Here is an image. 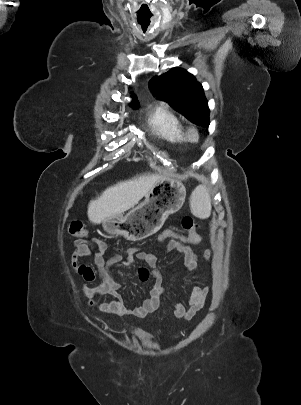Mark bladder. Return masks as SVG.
<instances>
[{
	"label": "bladder",
	"instance_id": "bladder-1",
	"mask_svg": "<svg viewBox=\"0 0 301 405\" xmlns=\"http://www.w3.org/2000/svg\"><path fill=\"white\" fill-rule=\"evenodd\" d=\"M139 336H140L141 338L147 337L145 334H139Z\"/></svg>",
	"mask_w": 301,
	"mask_h": 405
}]
</instances>
